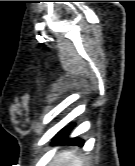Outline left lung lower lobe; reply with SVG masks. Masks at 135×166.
<instances>
[{"label": "left lung lower lobe", "mask_w": 135, "mask_h": 166, "mask_svg": "<svg viewBox=\"0 0 135 166\" xmlns=\"http://www.w3.org/2000/svg\"><path fill=\"white\" fill-rule=\"evenodd\" d=\"M75 126L74 123L66 126L53 138L54 143L70 144V145H79L83 146L84 141L79 137L69 138L72 128Z\"/></svg>", "instance_id": "0a47b994"}]
</instances>
